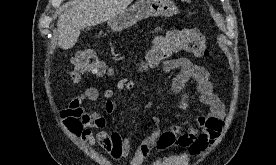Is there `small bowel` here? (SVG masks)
Masks as SVG:
<instances>
[{"instance_id":"1","label":"small bowel","mask_w":276,"mask_h":165,"mask_svg":"<svg viewBox=\"0 0 276 165\" xmlns=\"http://www.w3.org/2000/svg\"><path fill=\"white\" fill-rule=\"evenodd\" d=\"M164 72L177 70L172 80V91L181 96L180 108L186 113L189 108V92H184L188 82L193 81L199 93V102L210 108L208 115L198 116L187 133L181 131V126L175 125L165 131L155 128L152 134L144 138L136 147L131 165H142L153 148L164 151L171 147H180L196 156L207 151L218 139L226 118L225 106L213 92V84L209 72L202 66L194 64L187 58L170 59L162 64ZM134 83L128 78H121L115 88H106L102 92L105 98V108L112 113L115 109L113 98L117 91H128L134 88ZM100 92L95 87L87 88L81 95L74 98L68 108L62 110L61 115L67 121L79 123L78 132L83 141L91 146H99L113 160L127 157L131 152V142L117 132L105 130L106 120L103 116L94 113L82 106L84 99L95 101ZM185 118L183 124L189 123ZM155 124L158 119H154Z\"/></svg>"}]
</instances>
